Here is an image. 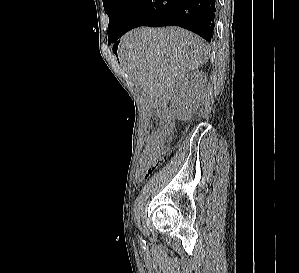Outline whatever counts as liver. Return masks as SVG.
Here are the masks:
<instances>
[{
  "mask_svg": "<svg viewBox=\"0 0 299 273\" xmlns=\"http://www.w3.org/2000/svg\"><path fill=\"white\" fill-rule=\"evenodd\" d=\"M119 56L155 108L166 106L178 81L209 59L203 39L179 27L134 29L121 38Z\"/></svg>",
  "mask_w": 299,
  "mask_h": 273,
  "instance_id": "1",
  "label": "liver"
}]
</instances>
